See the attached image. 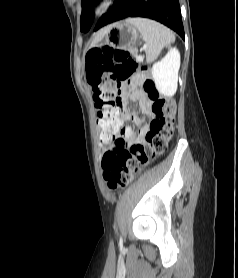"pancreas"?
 I'll return each mask as SVG.
<instances>
[{
    "instance_id": "cf45deb5",
    "label": "pancreas",
    "mask_w": 238,
    "mask_h": 278,
    "mask_svg": "<svg viewBox=\"0 0 238 278\" xmlns=\"http://www.w3.org/2000/svg\"><path fill=\"white\" fill-rule=\"evenodd\" d=\"M131 51V53L134 55V56H137V51H136V49H132V50H130Z\"/></svg>"
}]
</instances>
